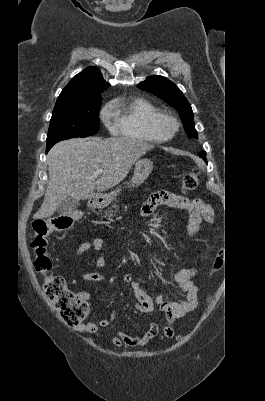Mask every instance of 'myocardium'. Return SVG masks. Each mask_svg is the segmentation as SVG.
Listing matches in <instances>:
<instances>
[{"instance_id":"f54148a6","label":"myocardium","mask_w":265,"mask_h":401,"mask_svg":"<svg viewBox=\"0 0 265 401\" xmlns=\"http://www.w3.org/2000/svg\"><path fill=\"white\" fill-rule=\"evenodd\" d=\"M161 123H168L171 126V131L166 136L159 134V126ZM151 130L155 134V138L159 142H164L172 139L180 129L179 120L171 114L159 112L157 113L150 122Z\"/></svg>"}]
</instances>
